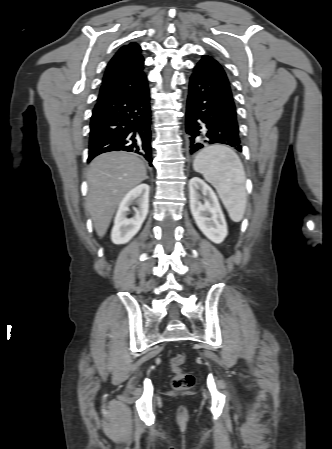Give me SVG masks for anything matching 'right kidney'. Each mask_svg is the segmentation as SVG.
I'll use <instances>...</instances> for the list:
<instances>
[{
  "mask_svg": "<svg viewBox=\"0 0 332 449\" xmlns=\"http://www.w3.org/2000/svg\"><path fill=\"white\" fill-rule=\"evenodd\" d=\"M149 191V185L140 184L130 190L120 202L111 232V240L114 244L129 242L140 230L148 214ZM134 202L138 204V208H134L135 215L127 218L129 207Z\"/></svg>",
  "mask_w": 332,
  "mask_h": 449,
  "instance_id": "ca27d5eb",
  "label": "right kidney"
}]
</instances>
